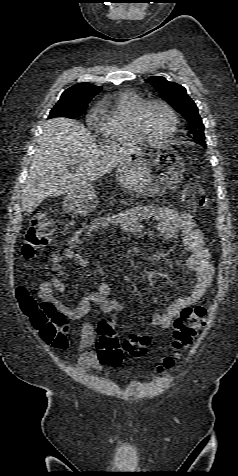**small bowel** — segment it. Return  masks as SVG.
<instances>
[{
	"label": "small bowel",
	"instance_id": "small-bowel-1",
	"mask_svg": "<svg viewBox=\"0 0 238 476\" xmlns=\"http://www.w3.org/2000/svg\"><path fill=\"white\" fill-rule=\"evenodd\" d=\"M144 220H154L156 222L154 230L165 238L171 239L179 232L184 248L190 252L187 265L193 272L194 280L188 295L176 299L161 311L154 313L150 319L153 327L166 329L184 308L193 306L203 298L213 277V268L210 264L211 254L191 214L168 207L142 205L119 214L101 216L82 224L69 239L68 247L63 255L74 265L87 268L89 263L78 249L82 244L90 241L94 232L110 227H120L126 234L136 236L142 231L141 223ZM63 277L62 262L55 260L51 280L44 281L39 286V298L42 302L50 304L63 318L71 320L83 319L93 308L97 310L98 320L95 323L86 321L83 324L76 349L80 367L99 370L103 364L98 358L97 351L90 348L95 344L99 327L106 321L107 316L111 312L122 311L124 306L119 300L111 297V288L107 282H101L98 291L84 297L78 306H67L55 295V292L65 293L66 291Z\"/></svg>",
	"mask_w": 238,
	"mask_h": 476
}]
</instances>
